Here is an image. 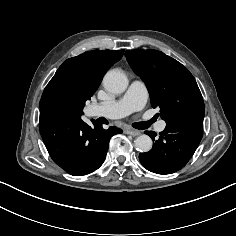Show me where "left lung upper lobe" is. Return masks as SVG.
<instances>
[{"label":"left lung upper lobe","instance_id":"5c2ea615","mask_svg":"<svg viewBox=\"0 0 236 236\" xmlns=\"http://www.w3.org/2000/svg\"><path fill=\"white\" fill-rule=\"evenodd\" d=\"M125 56L145 82L153 108H160L166 123L204 118L201 92L193 75L181 63L157 50H127Z\"/></svg>","mask_w":236,"mask_h":236}]
</instances>
